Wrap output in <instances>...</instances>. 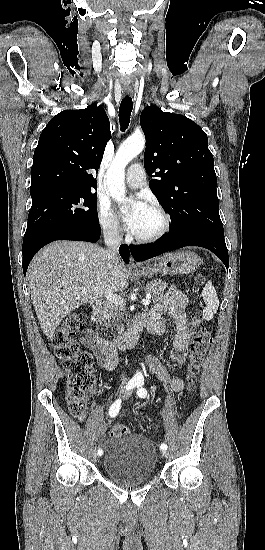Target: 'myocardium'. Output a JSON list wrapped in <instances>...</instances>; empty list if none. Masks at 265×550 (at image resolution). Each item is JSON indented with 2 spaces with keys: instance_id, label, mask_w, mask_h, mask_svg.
<instances>
[{
  "instance_id": "1",
  "label": "myocardium",
  "mask_w": 265,
  "mask_h": 550,
  "mask_svg": "<svg viewBox=\"0 0 265 550\" xmlns=\"http://www.w3.org/2000/svg\"><path fill=\"white\" fill-rule=\"evenodd\" d=\"M149 208L160 216L162 220V224H161V227L156 232L150 235L141 236V235H136L132 233L133 239L139 243L155 242L161 239L163 236H165L171 227V218L169 214L162 207L156 204H152L149 206Z\"/></svg>"
}]
</instances>
